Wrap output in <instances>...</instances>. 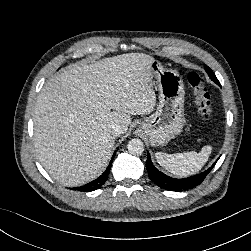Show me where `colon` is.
<instances>
[{"label":"colon","instance_id":"obj_1","mask_svg":"<svg viewBox=\"0 0 251 251\" xmlns=\"http://www.w3.org/2000/svg\"><path fill=\"white\" fill-rule=\"evenodd\" d=\"M188 82L193 90L199 116L205 121L211 120L213 117V108L210 95L204 85L203 77L197 72H190L188 74Z\"/></svg>","mask_w":251,"mask_h":251}]
</instances>
